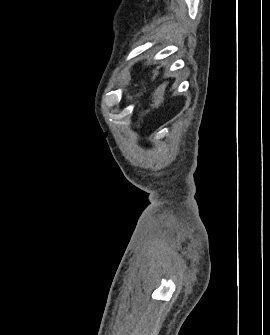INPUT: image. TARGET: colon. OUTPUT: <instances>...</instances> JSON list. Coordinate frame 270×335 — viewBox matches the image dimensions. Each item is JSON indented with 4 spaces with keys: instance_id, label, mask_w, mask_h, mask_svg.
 Segmentation results:
<instances>
[{
    "instance_id": "colon-1",
    "label": "colon",
    "mask_w": 270,
    "mask_h": 335,
    "mask_svg": "<svg viewBox=\"0 0 270 335\" xmlns=\"http://www.w3.org/2000/svg\"><path fill=\"white\" fill-rule=\"evenodd\" d=\"M158 108L159 109H169L170 108V103L169 102H159L158 103Z\"/></svg>"
}]
</instances>
